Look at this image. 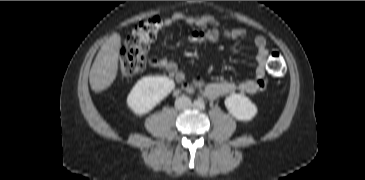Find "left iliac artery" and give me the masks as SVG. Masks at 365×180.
I'll list each match as a JSON object with an SVG mask.
<instances>
[{
	"mask_svg": "<svg viewBox=\"0 0 365 180\" xmlns=\"http://www.w3.org/2000/svg\"><path fill=\"white\" fill-rule=\"evenodd\" d=\"M205 108V105L204 104H201L200 105V109H204Z\"/></svg>",
	"mask_w": 365,
	"mask_h": 180,
	"instance_id": "obj_1",
	"label": "left iliac artery"
}]
</instances>
